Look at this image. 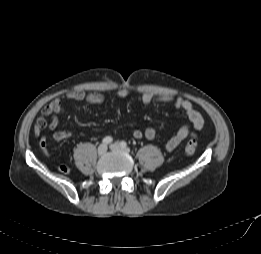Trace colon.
<instances>
[{"mask_svg":"<svg viewBox=\"0 0 261 254\" xmlns=\"http://www.w3.org/2000/svg\"><path fill=\"white\" fill-rule=\"evenodd\" d=\"M196 147H197V141L195 139H190L185 145V149H184L185 153L187 155H193L196 151ZM58 169L60 172L64 174L69 173V168L64 164L59 165Z\"/></svg>","mask_w":261,"mask_h":254,"instance_id":"1","label":"colon"}]
</instances>
